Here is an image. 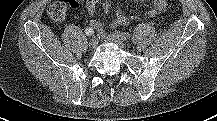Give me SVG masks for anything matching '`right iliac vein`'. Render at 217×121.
<instances>
[{"label":"right iliac vein","instance_id":"obj_1","mask_svg":"<svg viewBox=\"0 0 217 121\" xmlns=\"http://www.w3.org/2000/svg\"><path fill=\"white\" fill-rule=\"evenodd\" d=\"M98 42H99L98 39L94 37L89 41L88 45L90 48H95L98 45Z\"/></svg>","mask_w":217,"mask_h":121}]
</instances>
